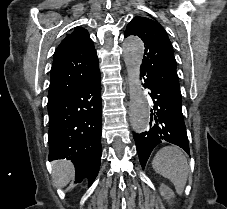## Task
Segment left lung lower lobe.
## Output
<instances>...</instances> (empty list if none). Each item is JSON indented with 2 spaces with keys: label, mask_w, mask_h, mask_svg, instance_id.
I'll use <instances>...</instances> for the list:
<instances>
[{
  "label": "left lung lower lobe",
  "mask_w": 227,
  "mask_h": 209,
  "mask_svg": "<svg viewBox=\"0 0 227 209\" xmlns=\"http://www.w3.org/2000/svg\"><path fill=\"white\" fill-rule=\"evenodd\" d=\"M144 80L145 85L151 91L150 96L156 112L151 114L150 128L147 131L140 134L133 133L143 168H145L154 147L165 141L183 148L188 154L190 153L181 108L182 98L160 88L146 78Z\"/></svg>",
  "instance_id": "obj_1"
}]
</instances>
